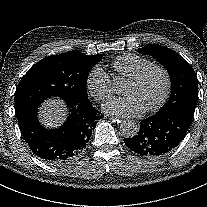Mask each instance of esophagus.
<instances>
[{
  "mask_svg": "<svg viewBox=\"0 0 207 207\" xmlns=\"http://www.w3.org/2000/svg\"><path fill=\"white\" fill-rule=\"evenodd\" d=\"M109 119L112 120L113 122H120L119 119L112 117V116H110Z\"/></svg>",
  "mask_w": 207,
  "mask_h": 207,
  "instance_id": "obj_1",
  "label": "esophagus"
}]
</instances>
